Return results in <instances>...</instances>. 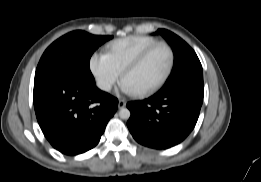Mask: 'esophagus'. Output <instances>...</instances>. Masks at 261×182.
<instances>
[{"label":"esophagus","instance_id":"obj_1","mask_svg":"<svg viewBox=\"0 0 261 182\" xmlns=\"http://www.w3.org/2000/svg\"><path fill=\"white\" fill-rule=\"evenodd\" d=\"M126 106V101L125 100H119L118 102V108L122 109Z\"/></svg>","mask_w":261,"mask_h":182}]
</instances>
